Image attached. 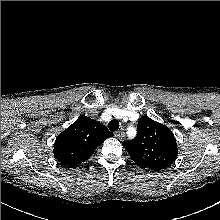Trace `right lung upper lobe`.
<instances>
[{
	"instance_id": "cb5924a9",
	"label": "right lung upper lobe",
	"mask_w": 220,
	"mask_h": 220,
	"mask_svg": "<svg viewBox=\"0 0 220 220\" xmlns=\"http://www.w3.org/2000/svg\"><path fill=\"white\" fill-rule=\"evenodd\" d=\"M112 135L103 124L81 116L56 138L54 157L60 164L77 166L91 157L96 147Z\"/></svg>"
}]
</instances>
